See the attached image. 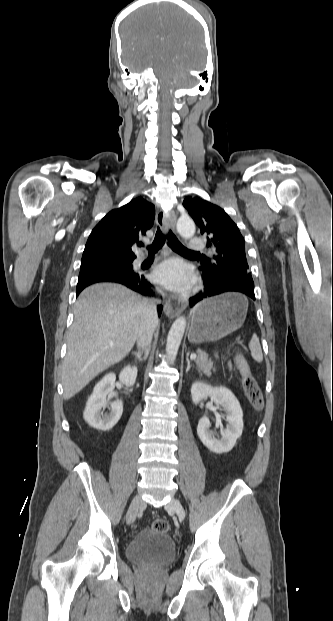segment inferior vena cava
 I'll list each match as a JSON object with an SVG mask.
<instances>
[{"mask_svg": "<svg viewBox=\"0 0 333 621\" xmlns=\"http://www.w3.org/2000/svg\"><path fill=\"white\" fill-rule=\"evenodd\" d=\"M158 292L164 295V293L161 290H158ZM159 302H160L159 300H145L144 302L145 309L150 312L153 318L151 322L141 327L140 331L138 332L137 338H136L137 346L144 350H147L150 348L153 332H154L156 325L158 324L156 304Z\"/></svg>", "mask_w": 333, "mask_h": 621, "instance_id": "inferior-vena-cava-1", "label": "inferior vena cava"}]
</instances>
